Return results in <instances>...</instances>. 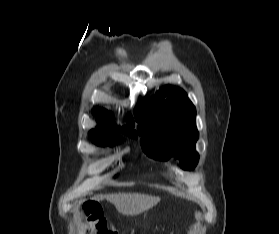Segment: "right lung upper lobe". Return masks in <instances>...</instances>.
<instances>
[{
    "mask_svg": "<svg viewBox=\"0 0 279 234\" xmlns=\"http://www.w3.org/2000/svg\"><path fill=\"white\" fill-rule=\"evenodd\" d=\"M95 114L98 118L99 125L97 129H93L89 132L90 138L93 142L98 144H111L118 141V137L110 132H106V129H115V126L110 122V115L106 110L95 109ZM135 126L132 117L129 119L128 126H124L121 130L130 137L136 138L137 133L132 129Z\"/></svg>",
    "mask_w": 279,
    "mask_h": 234,
    "instance_id": "cb5924a9",
    "label": "right lung upper lobe"
}]
</instances>
